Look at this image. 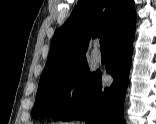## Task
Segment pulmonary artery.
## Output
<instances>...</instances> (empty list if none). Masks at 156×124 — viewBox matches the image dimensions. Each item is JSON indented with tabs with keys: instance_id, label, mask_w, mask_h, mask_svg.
<instances>
[{
	"instance_id": "1",
	"label": "pulmonary artery",
	"mask_w": 156,
	"mask_h": 124,
	"mask_svg": "<svg viewBox=\"0 0 156 124\" xmlns=\"http://www.w3.org/2000/svg\"><path fill=\"white\" fill-rule=\"evenodd\" d=\"M92 57L96 62H100L102 60V54L98 49L93 50Z\"/></svg>"
}]
</instances>
